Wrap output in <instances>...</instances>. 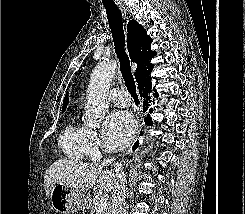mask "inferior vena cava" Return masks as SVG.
<instances>
[{
	"mask_svg": "<svg viewBox=\"0 0 245 214\" xmlns=\"http://www.w3.org/2000/svg\"><path fill=\"white\" fill-rule=\"evenodd\" d=\"M115 158H108L102 162V165L111 164ZM115 172L118 175V179L113 188V209L112 214H126L123 204L126 198V175L123 171L120 163H115Z\"/></svg>",
	"mask_w": 245,
	"mask_h": 214,
	"instance_id": "1",
	"label": "inferior vena cava"
}]
</instances>
